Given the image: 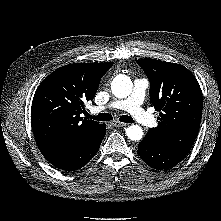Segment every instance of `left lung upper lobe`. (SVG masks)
I'll return each mask as SVG.
<instances>
[{"label":"left lung upper lobe","instance_id":"obj_1","mask_svg":"<svg viewBox=\"0 0 221 221\" xmlns=\"http://www.w3.org/2000/svg\"><path fill=\"white\" fill-rule=\"evenodd\" d=\"M137 63L150 81V101L160 111L156 128L146 136L152 142L188 153L198 135L202 92L194 75L184 66L154 59Z\"/></svg>","mask_w":221,"mask_h":221}]
</instances>
